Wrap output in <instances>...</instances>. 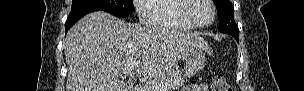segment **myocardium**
Masks as SVG:
<instances>
[{
	"label": "myocardium",
	"instance_id": "f54148a6",
	"mask_svg": "<svg viewBox=\"0 0 304 91\" xmlns=\"http://www.w3.org/2000/svg\"><path fill=\"white\" fill-rule=\"evenodd\" d=\"M205 1L212 8L213 16H212V20L209 23L200 24L197 21H195V19L192 16V10L195 8L197 0H183V5L181 7V14L183 18L195 28H208L215 22L217 11L214 2L212 0H205Z\"/></svg>",
	"mask_w": 304,
	"mask_h": 91
}]
</instances>
